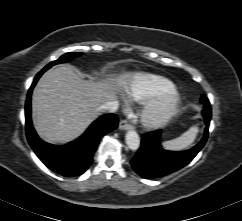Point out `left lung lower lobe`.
Instances as JSON below:
<instances>
[{
  "mask_svg": "<svg viewBox=\"0 0 242 221\" xmlns=\"http://www.w3.org/2000/svg\"><path fill=\"white\" fill-rule=\"evenodd\" d=\"M201 100L204 104L202 113L206 124L202 140L189 150L171 152L161 147L160 130L144 134L141 146L130 162L133 170L138 175L144 178H156L168 175L186 166L198 154L206 143L211 119V106L207 97L203 95Z\"/></svg>",
  "mask_w": 242,
  "mask_h": 221,
  "instance_id": "left-lung-lower-lobe-1",
  "label": "left lung lower lobe"
}]
</instances>
